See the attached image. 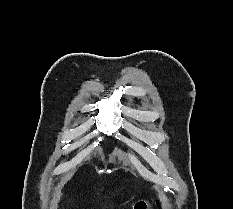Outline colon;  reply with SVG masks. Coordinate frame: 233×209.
<instances>
[{"instance_id": "5ec220e1", "label": "colon", "mask_w": 233, "mask_h": 209, "mask_svg": "<svg viewBox=\"0 0 233 209\" xmlns=\"http://www.w3.org/2000/svg\"><path fill=\"white\" fill-rule=\"evenodd\" d=\"M153 202L139 201L135 204L134 209H149Z\"/></svg>"}]
</instances>
